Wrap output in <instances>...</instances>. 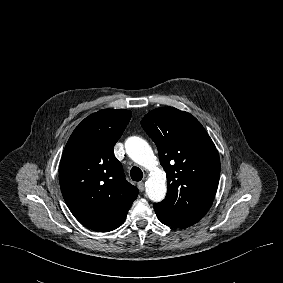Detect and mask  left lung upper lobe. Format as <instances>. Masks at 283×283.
I'll use <instances>...</instances> for the list:
<instances>
[{"mask_svg": "<svg viewBox=\"0 0 283 283\" xmlns=\"http://www.w3.org/2000/svg\"><path fill=\"white\" fill-rule=\"evenodd\" d=\"M141 125L155 142L167 175V195L154 204L159 220L186 228L208 212L219 183L216 147L200 122L174 107L146 114Z\"/></svg>", "mask_w": 283, "mask_h": 283, "instance_id": "1", "label": "left lung upper lobe"}]
</instances>
